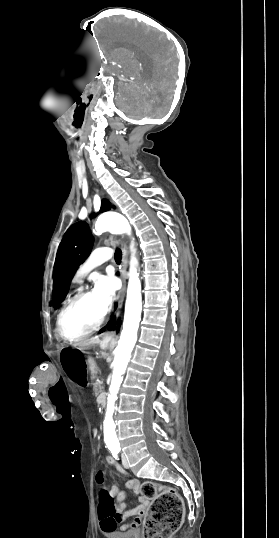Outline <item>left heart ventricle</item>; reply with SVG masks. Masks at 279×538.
<instances>
[{"label":"left heart ventricle","mask_w":279,"mask_h":538,"mask_svg":"<svg viewBox=\"0 0 279 538\" xmlns=\"http://www.w3.org/2000/svg\"><path fill=\"white\" fill-rule=\"evenodd\" d=\"M104 313L101 302L95 293L73 305L63 318V332L75 338L95 326Z\"/></svg>","instance_id":"obj_1"}]
</instances>
